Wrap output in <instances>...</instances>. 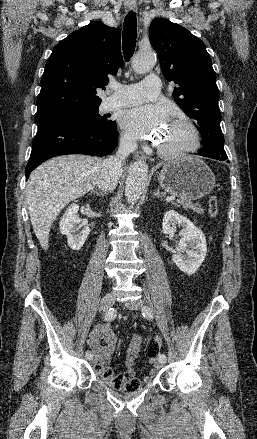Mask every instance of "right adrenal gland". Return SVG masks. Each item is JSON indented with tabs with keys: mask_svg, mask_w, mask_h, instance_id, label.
Returning a JSON list of instances; mask_svg holds the SVG:
<instances>
[{
	"mask_svg": "<svg viewBox=\"0 0 257 439\" xmlns=\"http://www.w3.org/2000/svg\"><path fill=\"white\" fill-rule=\"evenodd\" d=\"M92 193H94L96 196H104L106 194V192H98L97 190H91Z\"/></svg>",
	"mask_w": 257,
	"mask_h": 439,
	"instance_id": "obj_1",
	"label": "right adrenal gland"
}]
</instances>
